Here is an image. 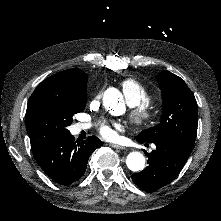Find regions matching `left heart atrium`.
I'll return each instance as SVG.
<instances>
[{
  "label": "left heart atrium",
  "instance_id": "left-heart-atrium-1",
  "mask_svg": "<svg viewBox=\"0 0 221 221\" xmlns=\"http://www.w3.org/2000/svg\"><path fill=\"white\" fill-rule=\"evenodd\" d=\"M118 124L109 121H103L98 128L99 135L107 141H117L119 139L116 131Z\"/></svg>",
  "mask_w": 221,
  "mask_h": 221
}]
</instances>
